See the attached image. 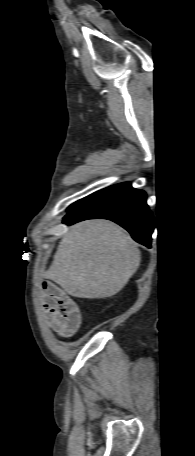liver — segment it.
I'll use <instances>...</instances> for the list:
<instances>
[{
    "instance_id": "liver-1",
    "label": "liver",
    "mask_w": 195,
    "mask_h": 456,
    "mask_svg": "<svg viewBox=\"0 0 195 456\" xmlns=\"http://www.w3.org/2000/svg\"><path fill=\"white\" fill-rule=\"evenodd\" d=\"M140 262L141 252L124 229L88 220L64 235L45 277L73 297L107 298L125 287Z\"/></svg>"
}]
</instances>
